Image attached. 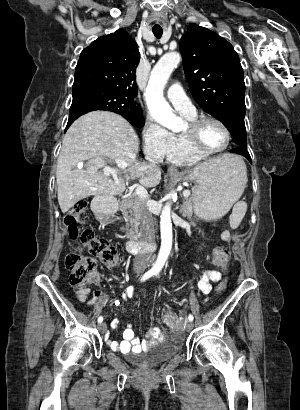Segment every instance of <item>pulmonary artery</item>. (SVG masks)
Here are the masks:
<instances>
[{"mask_svg": "<svg viewBox=\"0 0 300 410\" xmlns=\"http://www.w3.org/2000/svg\"><path fill=\"white\" fill-rule=\"evenodd\" d=\"M166 96L177 111L186 114L195 113L194 105L178 84L171 85L166 92Z\"/></svg>", "mask_w": 300, "mask_h": 410, "instance_id": "1", "label": "pulmonary artery"}]
</instances>
